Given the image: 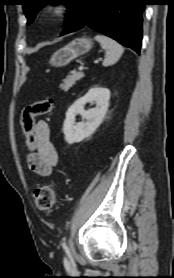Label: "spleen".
Returning a JSON list of instances; mask_svg holds the SVG:
<instances>
[{"mask_svg": "<svg viewBox=\"0 0 174 278\" xmlns=\"http://www.w3.org/2000/svg\"><path fill=\"white\" fill-rule=\"evenodd\" d=\"M95 40L98 41L102 49L105 50L103 66L115 64L124 52L123 47L110 37L98 34L95 36Z\"/></svg>", "mask_w": 174, "mask_h": 278, "instance_id": "3e777b00", "label": "spleen"}]
</instances>
